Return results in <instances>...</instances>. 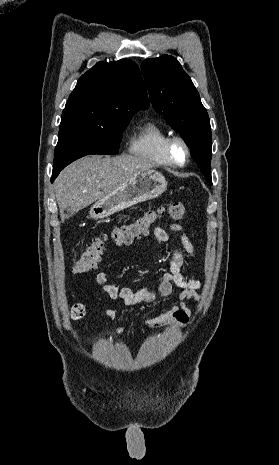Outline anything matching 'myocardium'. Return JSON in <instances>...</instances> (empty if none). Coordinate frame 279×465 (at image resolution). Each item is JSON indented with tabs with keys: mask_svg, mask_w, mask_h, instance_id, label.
I'll return each mask as SVG.
<instances>
[{
	"mask_svg": "<svg viewBox=\"0 0 279 465\" xmlns=\"http://www.w3.org/2000/svg\"><path fill=\"white\" fill-rule=\"evenodd\" d=\"M176 145H180L184 150V157L182 161H178L174 156V148ZM165 153L170 163L175 166H183L186 164L190 157V148L186 140L180 135H171L165 142Z\"/></svg>",
	"mask_w": 279,
	"mask_h": 465,
	"instance_id": "f54148a6",
	"label": "myocardium"
}]
</instances>
